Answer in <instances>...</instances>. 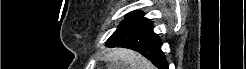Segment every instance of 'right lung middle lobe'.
Listing matches in <instances>:
<instances>
[{
	"label": "right lung middle lobe",
	"mask_w": 246,
	"mask_h": 69,
	"mask_svg": "<svg viewBox=\"0 0 246 69\" xmlns=\"http://www.w3.org/2000/svg\"><path fill=\"white\" fill-rule=\"evenodd\" d=\"M142 17H127L121 25H119L118 29L113 33V35L108 39L107 46L112 43L116 38H118L123 33L127 32L128 30L134 28L138 24L142 22Z\"/></svg>",
	"instance_id": "1"
}]
</instances>
